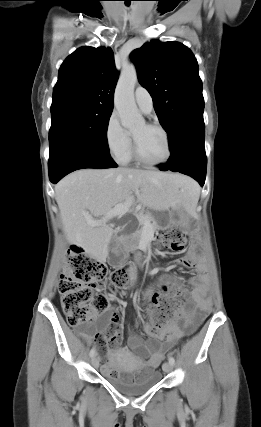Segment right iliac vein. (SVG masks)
I'll use <instances>...</instances> for the list:
<instances>
[{
  "label": "right iliac vein",
  "instance_id": "63e3f726",
  "mask_svg": "<svg viewBox=\"0 0 261 427\" xmlns=\"http://www.w3.org/2000/svg\"><path fill=\"white\" fill-rule=\"evenodd\" d=\"M91 363H92V365L95 368H97L99 366V360H98V358L96 356H93L92 359H91Z\"/></svg>",
  "mask_w": 261,
  "mask_h": 427
}]
</instances>
